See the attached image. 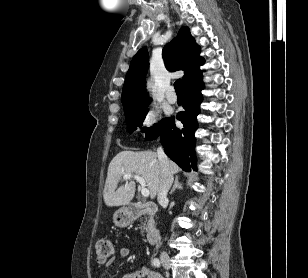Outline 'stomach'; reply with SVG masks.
Masks as SVG:
<instances>
[{
    "label": "stomach",
    "mask_w": 308,
    "mask_h": 278,
    "mask_svg": "<svg viewBox=\"0 0 308 278\" xmlns=\"http://www.w3.org/2000/svg\"><path fill=\"white\" fill-rule=\"evenodd\" d=\"M131 221V215L127 208L117 210L113 215V222L118 227H125Z\"/></svg>",
    "instance_id": "0dacf381"
}]
</instances>
